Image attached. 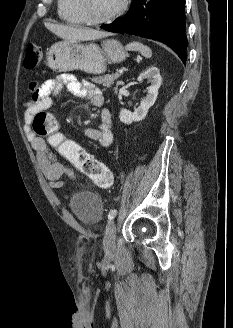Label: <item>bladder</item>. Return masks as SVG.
<instances>
[{
    "instance_id": "bladder-1",
    "label": "bladder",
    "mask_w": 233,
    "mask_h": 328,
    "mask_svg": "<svg viewBox=\"0 0 233 328\" xmlns=\"http://www.w3.org/2000/svg\"><path fill=\"white\" fill-rule=\"evenodd\" d=\"M69 208L74 216L86 225H95L102 217L100 198L88 191L73 194L69 199Z\"/></svg>"
}]
</instances>
